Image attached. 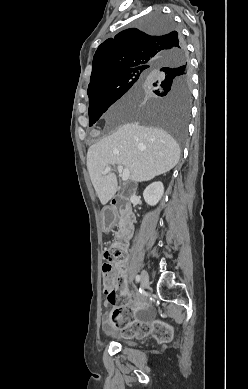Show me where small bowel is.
I'll list each match as a JSON object with an SVG mask.
<instances>
[{"label": "small bowel", "mask_w": 248, "mask_h": 389, "mask_svg": "<svg viewBox=\"0 0 248 389\" xmlns=\"http://www.w3.org/2000/svg\"><path fill=\"white\" fill-rule=\"evenodd\" d=\"M124 265V264H123ZM109 305H114V304H111L108 300L104 302V306L105 307H108ZM123 305H126L123 304ZM116 311V307L113 308L112 310L106 312L103 317H102V322H103V327L104 329H108L109 326H110V323L112 322L111 321V318H112V314L113 312ZM150 315L151 313L149 312V310L146 308V304H141L137 307L136 309V312H135V318L140 321V322H145L147 321L149 318H150Z\"/></svg>", "instance_id": "small-bowel-1"}]
</instances>
